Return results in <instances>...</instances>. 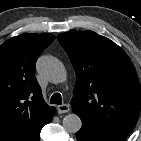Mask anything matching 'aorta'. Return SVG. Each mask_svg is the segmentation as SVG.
<instances>
[{
  "label": "aorta",
  "mask_w": 141,
  "mask_h": 141,
  "mask_svg": "<svg viewBox=\"0 0 141 141\" xmlns=\"http://www.w3.org/2000/svg\"><path fill=\"white\" fill-rule=\"evenodd\" d=\"M37 70L49 82L63 83L67 80L64 64L56 57L44 55L37 61ZM64 129L69 133H76L82 127L81 119L75 113L67 114L62 121Z\"/></svg>",
  "instance_id": "1"
}]
</instances>
